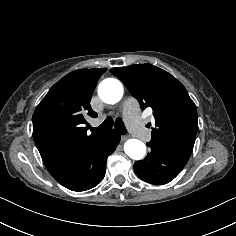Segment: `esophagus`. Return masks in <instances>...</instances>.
I'll return each mask as SVG.
<instances>
[{
	"label": "esophagus",
	"instance_id": "34e87169",
	"mask_svg": "<svg viewBox=\"0 0 236 236\" xmlns=\"http://www.w3.org/2000/svg\"><path fill=\"white\" fill-rule=\"evenodd\" d=\"M130 136L129 135H122L121 140L126 141Z\"/></svg>",
	"mask_w": 236,
	"mask_h": 236
}]
</instances>
